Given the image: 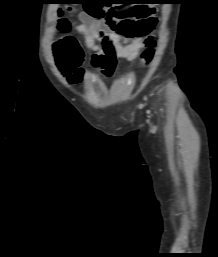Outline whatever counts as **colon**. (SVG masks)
I'll return each instance as SVG.
<instances>
[{"instance_id":"obj_1","label":"colon","mask_w":218,"mask_h":257,"mask_svg":"<svg viewBox=\"0 0 218 257\" xmlns=\"http://www.w3.org/2000/svg\"><path fill=\"white\" fill-rule=\"evenodd\" d=\"M64 10H75V5H64ZM81 10L94 18H104L120 35L128 38H146V49L142 54V62L147 65L154 55L156 38L152 34L158 18L153 5H81ZM107 10V11H104ZM61 31H68L69 23L62 19L59 24ZM57 63L63 73H70L81 66L84 53L78 41L72 36L62 37L55 45Z\"/></svg>"}]
</instances>
